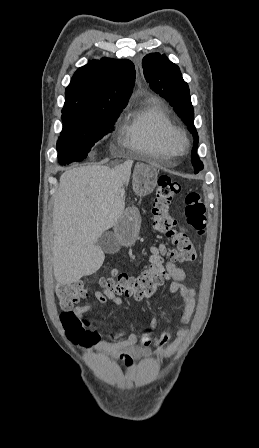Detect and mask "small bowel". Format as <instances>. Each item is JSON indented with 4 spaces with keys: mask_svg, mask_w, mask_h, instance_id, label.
I'll use <instances>...</instances> for the list:
<instances>
[{
    "mask_svg": "<svg viewBox=\"0 0 259 448\" xmlns=\"http://www.w3.org/2000/svg\"><path fill=\"white\" fill-rule=\"evenodd\" d=\"M186 277L185 271L176 266L172 261H168L165 266L163 278L170 282L169 290L172 294H180L184 301V310L181 317V323L186 324L189 322L195 307V292L193 289L185 286L183 281ZM97 303L106 304L109 303L113 306L119 307L122 305V299L113 292L104 288L102 291H97L94 294ZM92 308L91 304L77 306L73 309V313L81 318ZM88 329V335L82 342V345L90 351H94L103 355H111L120 358L125 362L127 366L133 363V360L155 355L160 358L170 357L177 347L184 339L186 332L184 330L177 331V338L166 348L163 346L171 339V334L168 331H164L158 338L153 339L151 336V330L156 328L157 320L152 319L149 324V330L143 332H137L134 328L130 327L128 333L112 334L110 340H101L99 333L93 329L91 322L86 321ZM149 340L155 344V350L151 352L146 347H141L137 343L138 341ZM147 346V345H145Z\"/></svg>",
    "mask_w": 259,
    "mask_h": 448,
    "instance_id": "small-bowel-1",
    "label": "small bowel"
}]
</instances>
